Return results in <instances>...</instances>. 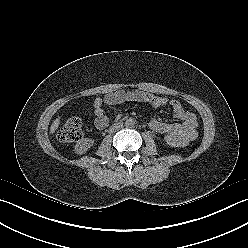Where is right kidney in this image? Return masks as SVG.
Masks as SVG:
<instances>
[{
	"mask_svg": "<svg viewBox=\"0 0 248 248\" xmlns=\"http://www.w3.org/2000/svg\"><path fill=\"white\" fill-rule=\"evenodd\" d=\"M94 140L91 138H85L81 139L76 145H75V153L76 154H84L87 152V150L93 146Z\"/></svg>",
	"mask_w": 248,
	"mask_h": 248,
	"instance_id": "right-kidney-1",
	"label": "right kidney"
}]
</instances>
